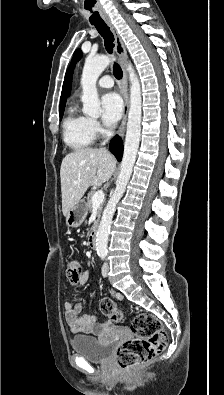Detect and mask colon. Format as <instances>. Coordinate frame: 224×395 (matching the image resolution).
I'll return each instance as SVG.
<instances>
[{"label": "colon", "instance_id": "obj_1", "mask_svg": "<svg viewBox=\"0 0 224 395\" xmlns=\"http://www.w3.org/2000/svg\"><path fill=\"white\" fill-rule=\"evenodd\" d=\"M66 273L70 282H78L82 275L80 263L70 261ZM100 309L113 321H121L124 317L121 309L110 299H103ZM131 330L135 337L122 344L116 354L119 366L124 370H133L148 363L165 350L168 342L161 322L149 313L137 315L131 323Z\"/></svg>", "mask_w": 224, "mask_h": 395}]
</instances>
